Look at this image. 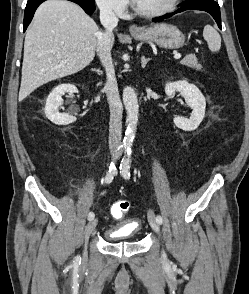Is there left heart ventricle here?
<instances>
[{
    "mask_svg": "<svg viewBox=\"0 0 249 294\" xmlns=\"http://www.w3.org/2000/svg\"><path fill=\"white\" fill-rule=\"evenodd\" d=\"M173 0H135L136 4L143 10L155 11L168 7Z\"/></svg>",
    "mask_w": 249,
    "mask_h": 294,
    "instance_id": "1",
    "label": "left heart ventricle"
}]
</instances>
